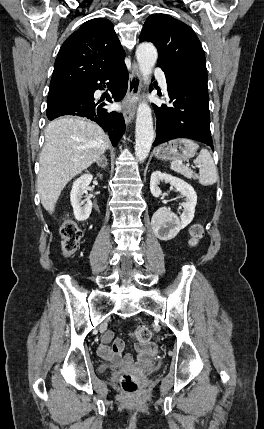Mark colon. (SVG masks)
<instances>
[{
    "label": "colon",
    "mask_w": 264,
    "mask_h": 429,
    "mask_svg": "<svg viewBox=\"0 0 264 429\" xmlns=\"http://www.w3.org/2000/svg\"><path fill=\"white\" fill-rule=\"evenodd\" d=\"M191 243L196 244L203 235V228L196 224L191 228ZM61 246L64 255L71 256L76 252L82 237L79 225L73 219H66L60 227ZM131 337L137 345L150 343L152 333L146 326H138L131 332ZM122 389L129 394L140 390L139 380L130 373H123L119 379Z\"/></svg>",
    "instance_id": "colon-1"
}]
</instances>
